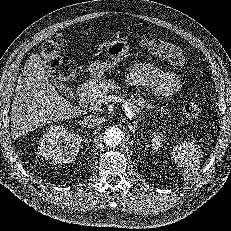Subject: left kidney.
Masks as SVG:
<instances>
[{
    "mask_svg": "<svg viewBox=\"0 0 231 231\" xmlns=\"http://www.w3.org/2000/svg\"><path fill=\"white\" fill-rule=\"evenodd\" d=\"M163 134L161 132L153 133L152 135V148L155 151L160 150L163 146Z\"/></svg>",
    "mask_w": 231,
    "mask_h": 231,
    "instance_id": "1",
    "label": "left kidney"
}]
</instances>
